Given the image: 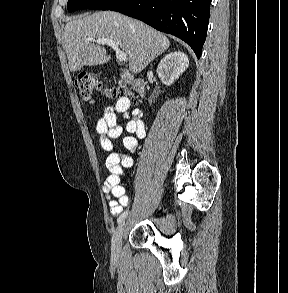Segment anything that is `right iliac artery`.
Returning a JSON list of instances; mask_svg holds the SVG:
<instances>
[{"label":"right iliac artery","instance_id":"right-iliac-artery-1","mask_svg":"<svg viewBox=\"0 0 288 293\" xmlns=\"http://www.w3.org/2000/svg\"><path fill=\"white\" fill-rule=\"evenodd\" d=\"M127 215H128V211L123 212V213L119 216L117 222H118V223H121V222L126 218Z\"/></svg>","mask_w":288,"mask_h":293}]
</instances>
